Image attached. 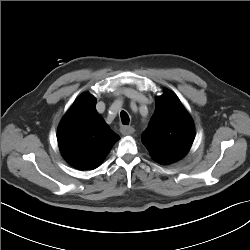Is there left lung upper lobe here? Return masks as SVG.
<instances>
[{
  "label": "left lung upper lobe",
  "instance_id": "5c2ea615",
  "mask_svg": "<svg viewBox=\"0 0 250 250\" xmlns=\"http://www.w3.org/2000/svg\"><path fill=\"white\" fill-rule=\"evenodd\" d=\"M156 108L141 140L159 163H173L189 151L194 125L178 97L169 90L156 97Z\"/></svg>",
  "mask_w": 250,
  "mask_h": 250
}]
</instances>
